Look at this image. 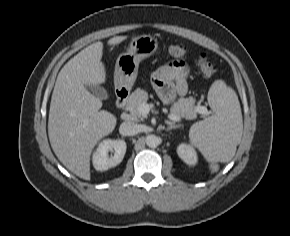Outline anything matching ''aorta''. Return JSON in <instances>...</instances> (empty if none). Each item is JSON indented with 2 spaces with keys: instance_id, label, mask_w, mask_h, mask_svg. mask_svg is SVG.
<instances>
[{
  "instance_id": "obj_1",
  "label": "aorta",
  "mask_w": 290,
  "mask_h": 236,
  "mask_svg": "<svg viewBox=\"0 0 290 236\" xmlns=\"http://www.w3.org/2000/svg\"><path fill=\"white\" fill-rule=\"evenodd\" d=\"M146 144L148 147L156 148L160 144V139L156 135H148L146 137Z\"/></svg>"
}]
</instances>
